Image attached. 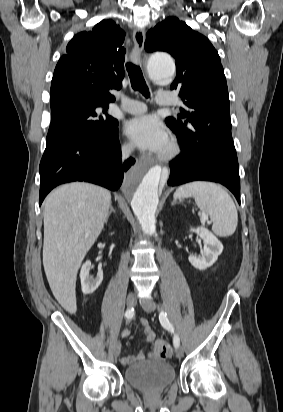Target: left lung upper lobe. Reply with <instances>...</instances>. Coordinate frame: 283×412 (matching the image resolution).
Here are the masks:
<instances>
[{"label": "left lung upper lobe", "instance_id": "obj_1", "mask_svg": "<svg viewBox=\"0 0 283 412\" xmlns=\"http://www.w3.org/2000/svg\"><path fill=\"white\" fill-rule=\"evenodd\" d=\"M147 52L166 51L176 60L177 89L188 110L182 121L166 118L174 133L194 132L210 156L238 161L231 135L229 96L220 57L209 40L186 23L169 17L146 35Z\"/></svg>", "mask_w": 283, "mask_h": 412}]
</instances>
